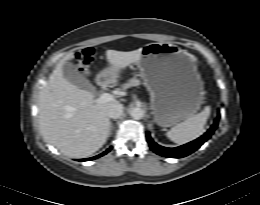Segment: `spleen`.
<instances>
[{"label":"spleen","instance_id":"spleen-1","mask_svg":"<svg viewBox=\"0 0 260 205\" xmlns=\"http://www.w3.org/2000/svg\"><path fill=\"white\" fill-rule=\"evenodd\" d=\"M210 112L211 108L206 106L202 112L189 117L169 130L166 134L167 137L180 145L198 138L204 131V126L210 116Z\"/></svg>","mask_w":260,"mask_h":205}]
</instances>
